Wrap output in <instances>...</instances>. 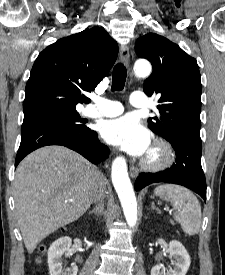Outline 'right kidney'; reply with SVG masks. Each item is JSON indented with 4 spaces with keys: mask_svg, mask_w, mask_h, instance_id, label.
<instances>
[{
    "mask_svg": "<svg viewBox=\"0 0 225 275\" xmlns=\"http://www.w3.org/2000/svg\"><path fill=\"white\" fill-rule=\"evenodd\" d=\"M72 240L70 237H61L54 241L48 250V266L50 275H77L78 267L73 263L66 270L62 267L63 255L71 253Z\"/></svg>",
    "mask_w": 225,
    "mask_h": 275,
    "instance_id": "obj_1",
    "label": "right kidney"
}]
</instances>
